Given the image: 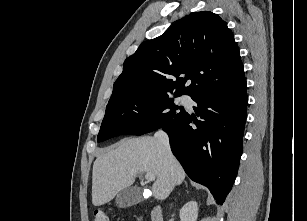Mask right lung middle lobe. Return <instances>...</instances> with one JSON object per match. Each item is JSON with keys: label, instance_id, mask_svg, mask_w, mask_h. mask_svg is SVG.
Returning a JSON list of instances; mask_svg holds the SVG:
<instances>
[{"label": "right lung middle lobe", "instance_id": "right-lung-middle-lobe-1", "mask_svg": "<svg viewBox=\"0 0 307 221\" xmlns=\"http://www.w3.org/2000/svg\"><path fill=\"white\" fill-rule=\"evenodd\" d=\"M182 109L171 94L127 96L107 105L97 141L122 134L142 135L163 128L184 117L187 112Z\"/></svg>", "mask_w": 307, "mask_h": 221}]
</instances>
